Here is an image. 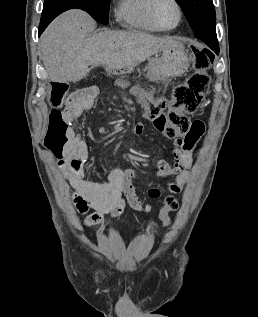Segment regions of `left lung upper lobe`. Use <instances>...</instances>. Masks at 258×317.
<instances>
[{"mask_svg":"<svg viewBox=\"0 0 258 317\" xmlns=\"http://www.w3.org/2000/svg\"><path fill=\"white\" fill-rule=\"evenodd\" d=\"M182 8L193 31L214 28L215 7L212 0H176Z\"/></svg>","mask_w":258,"mask_h":317,"instance_id":"5c2ea615","label":"left lung upper lobe"}]
</instances>
